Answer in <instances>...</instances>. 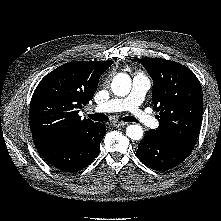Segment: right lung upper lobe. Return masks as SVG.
<instances>
[{
  "label": "right lung upper lobe",
  "instance_id": "cb5924a9",
  "mask_svg": "<svg viewBox=\"0 0 221 221\" xmlns=\"http://www.w3.org/2000/svg\"><path fill=\"white\" fill-rule=\"evenodd\" d=\"M108 61H75L47 74L36 87L30 104V128L33 139L66 140L98 123L81 119L83 104L94 96Z\"/></svg>",
  "mask_w": 221,
  "mask_h": 221
}]
</instances>
